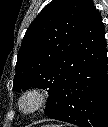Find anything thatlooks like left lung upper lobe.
I'll use <instances>...</instances> for the list:
<instances>
[{
	"label": "left lung upper lobe",
	"mask_w": 108,
	"mask_h": 127,
	"mask_svg": "<svg viewBox=\"0 0 108 127\" xmlns=\"http://www.w3.org/2000/svg\"><path fill=\"white\" fill-rule=\"evenodd\" d=\"M90 0H54L29 26L20 47L13 85L16 91L49 88L53 100L65 61L81 27Z\"/></svg>",
	"instance_id": "obj_1"
}]
</instances>
